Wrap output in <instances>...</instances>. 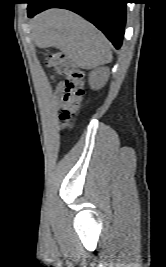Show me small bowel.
Masks as SVG:
<instances>
[{
	"mask_svg": "<svg viewBox=\"0 0 166 267\" xmlns=\"http://www.w3.org/2000/svg\"><path fill=\"white\" fill-rule=\"evenodd\" d=\"M63 88V83H60L59 85H58V90H61Z\"/></svg>",
	"mask_w": 166,
	"mask_h": 267,
	"instance_id": "1",
	"label": "small bowel"
}]
</instances>
